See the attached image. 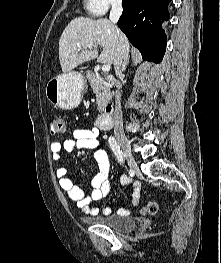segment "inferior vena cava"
Returning <instances> with one entry per match:
<instances>
[{
    "instance_id": "inferior-vena-cava-1",
    "label": "inferior vena cava",
    "mask_w": 221,
    "mask_h": 263,
    "mask_svg": "<svg viewBox=\"0 0 221 263\" xmlns=\"http://www.w3.org/2000/svg\"><path fill=\"white\" fill-rule=\"evenodd\" d=\"M122 13V0H112V8L110 11L109 19L113 24H116ZM119 43L117 45V52L114 59V67L116 75L121 78V66H122V56L121 49L123 47L122 37H119ZM114 133L117 138L124 137L123 131V116L121 110V93L116 90L115 94V111H114Z\"/></svg>"
}]
</instances>
